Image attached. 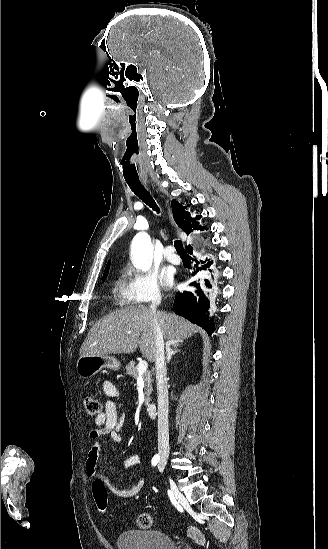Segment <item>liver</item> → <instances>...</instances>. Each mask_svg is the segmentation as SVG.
Listing matches in <instances>:
<instances>
[{"mask_svg": "<svg viewBox=\"0 0 328 549\" xmlns=\"http://www.w3.org/2000/svg\"><path fill=\"white\" fill-rule=\"evenodd\" d=\"M158 319L161 333L167 341H183L193 337L196 327L175 313L157 311L150 313L148 307L137 305L99 319L90 329L81 349L80 357L95 355H119L134 353L139 347L142 355L154 363L155 335L154 319Z\"/></svg>", "mask_w": 328, "mask_h": 549, "instance_id": "1", "label": "liver"}]
</instances>
